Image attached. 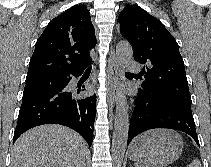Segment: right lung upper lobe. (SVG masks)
<instances>
[{"mask_svg":"<svg viewBox=\"0 0 211 167\" xmlns=\"http://www.w3.org/2000/svg\"><path fill=\"white\" fill-rule=\"evenodd\" d=\"M96 45L88 9L74 5L49 22L36 42L26 81L84 69Z\"/></svg>","mask_w":211,"mask_h":167,"instance_id":"1","label":"right lung upper lobe"}]
</instances>
